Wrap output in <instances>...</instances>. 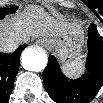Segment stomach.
<instances>
[{
  "instance_id": "obj_1",
  "label": "stomach",
  "mask_w": 103,
  "mask_h": 103,
  "mask_svg": "<svg viewBox=\"0 0 103 103\" xmlns=\"http://www.w3.org/2000/svg\"><path fill=\"white\" fill-rule=\"evenodd\" d=\"M43 41L54 50L62 63L67 64L80 59L84 45V33L82 30H77L57 37H46Z\"/></svg>"
}]
</instances>
